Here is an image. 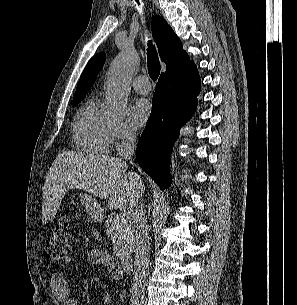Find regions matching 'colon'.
I'll use <instances>...</instances> for the list:
<instances>
[{
  "instance_id": "colon-1",
  "label": "colon",
  "mask_w": 297,
  "mask_h": 305,
  "mask_svg": "<svg viewBox=\"0 0 297 305\" xmlns=\"http://www.w3.org/2000/svg\"><path fill=\"white\" fill-rule=\"evenodd\" d=\"M46 252L56 261H65L70 255V225L67 219H61L55 226L46 244Z\"/></svg>"
}]
</instances>
